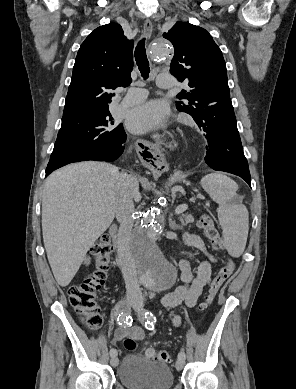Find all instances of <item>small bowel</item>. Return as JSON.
Instances as JSON below:
<instances>
[{"label": "small bowel", "instance_id": "c3829d8e", "mask_svg": "<svg viewBox=\"0 0 296 389\" xmlns=\"http://www.w3.org/2000/svg\"><path fill=\"white\" fill-rule=\"evenodd\" d=\"M185 243L203 251L207 258L198 265L195 275L192 272L190 263L185 259L180 260L179 268L182 284L162 298V305L165 308H174L180 304H185L189 308L194 307L212 275L215 259L205 252L202 240L196 235L186 234ZM89 262L90 257H87L85 264H89ZM170 321L173 326L177 327L181 324L182 319L179 314L171 312ZM125 337L142 340L145 338V332L139 326L122 325L116 330L114 341H120Z\"/></svg>", "mask_w": 296, "mask_h": 389}]
</instances>
